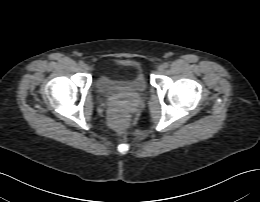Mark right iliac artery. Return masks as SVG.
I'll list each match as a JSON object with an SVG mask.
<instances>
[{
  "label": "right iliac artery",
  "instance_id": "82829eb1",
  "mask_svg": "<svg viewBox=\"0 0 260 202\" xmlns=\"http://www.w3.org/2000/svg\"><path fill=\"white\" fill-rule=\"evenodd\" d=\"M79 65H80V66H83V65H84V62H83V61H79Z\"/></svg>",
  "mask_w": 260,
  "mask_h": 202
}]
</instances>
